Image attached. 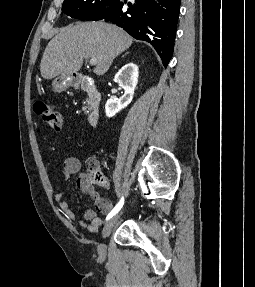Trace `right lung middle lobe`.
<instances>
[{
	"instance_id": "right-lung-middle-lobe-1",
	"label": "right lung middle lobe",
	"mask_w": 255,
	"mask_h": 287,
	"mask_svg": "<svg viewBox=\"0 0 255 287\" xmlns=\"http://www.w3.org/2000/svg\"><path fill=\"white\" fill-rule=\"evenodd\" d=\"M120 0H64L62 11L80 20H101L114 11Z\"/></svg>"
}]
</instances>
